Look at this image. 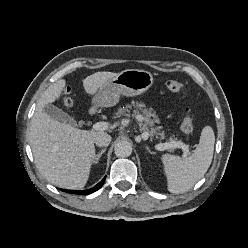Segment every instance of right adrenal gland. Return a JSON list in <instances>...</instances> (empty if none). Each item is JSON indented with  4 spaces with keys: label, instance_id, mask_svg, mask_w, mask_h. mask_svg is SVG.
<instances>
[{
    "label": "right adrenal gland",
    "instance_id": "obj_1",
    "mask_svg": "<svg viewBox=\"0 0 248 248\" xmlns=\"http://www.w3.org/2000/svg\"><path fill=\"white\" fill-rule=\"evenodd\" d=\"M106 151V148L102 149L97 155H95V160H94V163L95 164H98L101 156L103 155V153Z\"/></svg>",
    "mask_w": 248,
    "mask_h": 248
}]
</instances>
